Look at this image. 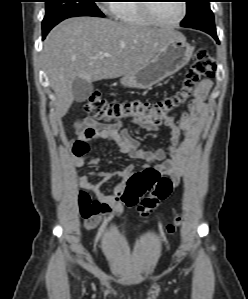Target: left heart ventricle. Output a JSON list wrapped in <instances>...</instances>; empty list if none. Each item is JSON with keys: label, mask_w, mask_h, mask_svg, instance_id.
Listing matches in <instances>:
<instances>
[{"label": "left heart ventricle", "mask_w": 248, "mask_h": 299, "mask_svg": "<svg viewBox=\"0 0 248 299\" xmlns=\"http://www.w3.org/2000/svg\"><path fill=\"white\" fill-rule=\"evenodd\" d=\"M153 11L161 21L174 22L181 15V2L180 0H173L155 3Z\"/></svg>", "instance_id": "1"}]
</instances>
